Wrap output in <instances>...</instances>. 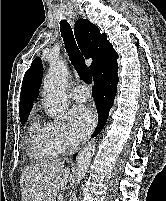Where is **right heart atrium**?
Returning a JSON list of instances; mask_svg holds the SVG:
<instances>
[{"label": "right heart atrium", "mask_w": 166, "mask_h": 201, "mask_svg": "<svg viewBox=\"0 0 166 201\" xmlns=\"http://www.w3.org/2000/svg\"><path fill=\"white\" fill-rule=\"evenodd\" d=\"M49 134L54 147L59 153H63L74 146L68 128L61 122L49 123Z\"/></svg>", "instance_id": "obj_1"}]
</instances>
